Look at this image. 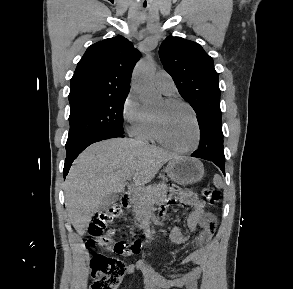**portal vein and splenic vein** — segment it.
<instances>
[{
	"label": "portal vein and splenic vein",
	"mask_w": 293,
	"mask_h": 289,
	"mask_svg": "<svg viewBox=\"0 0 293 289\" xmlns=\"http://www.w3.org/2000/svg\"><path fill=\"white\" fill-rule=\"evenodd\" d=\"M131 179H132V177H129V178H128V180H131ZM138 190H144V188L136 189L135 192L138 191Z\"/></svg>",
	"instance_id": "1"
}]
</instances>
